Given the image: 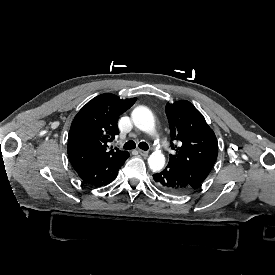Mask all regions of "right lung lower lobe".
Listing matches in <instances>:
<instances>
[{"instance_id": "obj_1", "label": "right lung lower lobe", "mask_w": 275, "mask_h": 275, "mask_svg": "<svg viewBox=\"0 0 275 275\" xmlns=\"http://www.w3.org/2000/svg\"><path fill=\"white\" fill-rule=\"evenodd\" d=\"M129 153L119 159H106L74 168L84 183L99 187L113 181Z\"/></svg>"}]
</instances>
